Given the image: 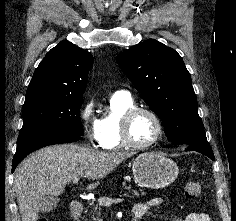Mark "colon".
<instances>
[{"instance_id": "1", "label": "colon", "mask_w": 236, "mask_h": 221, "mask_svg": "<svg viewBox=\"0 0 236 221\" xmlns=\"http://www.w3.org/2000/svg\"><path fill=\"white\" fill-rule=\"evenodd\" d=\"M202 187L199 182L196 181H189L185 185V196L188 199H194L201 195ZM39 221H50L49 219H40Z\"/></svg>"}]
</instances>
